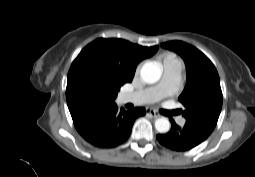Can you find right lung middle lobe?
<instances>
[{
	"label": "right lung middle lobe",
	"mask_w": 255,
	"mask_h": 177,
	"mask_svg": "<svg viewBox=\"0 0 255 177\" xmlns=\"http://www.w3.org/2000/svg\"><path fill=\"white\" fill-rule=\"evenodd\" d=\"M71 80L88 98L97 103H113L125 84L105 60L89 52H80L68 72Z\"/></svg>",
	"instance_id": "1"
}]
</instances>
